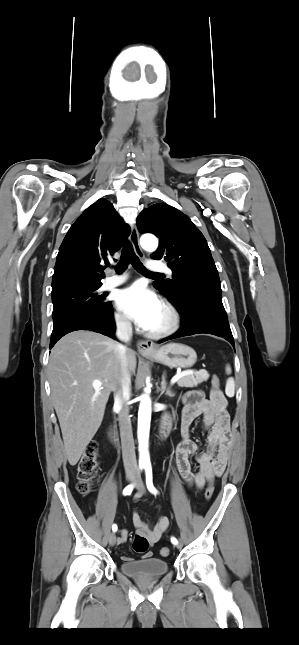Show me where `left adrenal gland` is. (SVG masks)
I'll use <instances>...</instances> for the list:
<instances>
[{"label": "left adrenal gland", "mask_w": 299, "mask_h": 645, "mask_svg": "<svg viewBox=\"0 0 299 645\" xmlns=\"http://www.w3.org/2000/svg\"><path fill=\"white\" fill-rule=\"evenodd\" d=\"M165 376H166V374L164 373L163 376H162L161 393L163 394L166 391L165 395H167L169 397H174L175 394L169 388L166 390Z\"/></svg>", "instance_id": "left-adrenal-gland-1"}]
</instances>
